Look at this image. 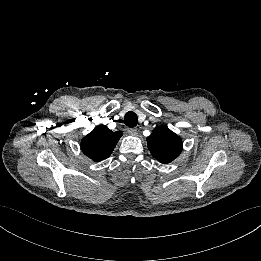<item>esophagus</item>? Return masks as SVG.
<instances>
[{
    "label": "esophagus",
    "instance_id": "esophagus-1",
    "mask_svg": "<svg viewBox=\"0 0 261 261\" xmlns=\"http://www.w3.org/2000/svg\"><path fill=\"white\" fill-rule=\"evenodd\" d=\"M127 133L129 135L135 136V135H137V129L136 128H128Z\"/></svg>",
    "mask_w": 261,
    "mask_h": 261
}]
</instances>
